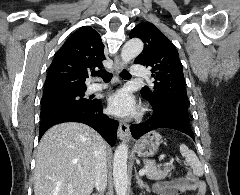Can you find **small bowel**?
<instances>
[{"label":"small bowel","mask_w":240,"mask_h":195,"mask_svg":"<svg viewBox=\"0 0 240 195\" xmlns=\"http://www.w3.org/2000/svg\"><path fill=\"white\" fill-rule=\"evenodd\" d=\"M191 177V176H189ZM206 186H192L187 178L162 180L154 185L155 195H184L194 192L195 195H205Z\"/></svg>","instance_id":"small-bowel-1"}]
</instances>
